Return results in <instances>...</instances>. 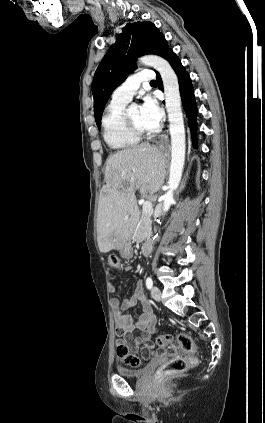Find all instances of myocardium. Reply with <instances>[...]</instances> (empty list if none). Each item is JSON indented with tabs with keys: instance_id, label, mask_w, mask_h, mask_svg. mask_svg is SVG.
<instances>
[{
	"instance_id": "f54148a6",
	"label": "myocardium",
	"mask_w": 265,
	"mask_h": 423,
	"mask_svg": "<svg viewBox=\"0 0 265 423\" xmlns=\"http://www.w3.org/2000/svg\"><path fill=\"white\" fill-rule=\"evenodd\" d=\"M129 111H124L123 114V119H124V123L127 126V128L129 129V131L134 134L137 137H145L147 135H149L151 133V130H144L139 128L130 118L129 116Z\"/></svg>"
}]
</instances>
